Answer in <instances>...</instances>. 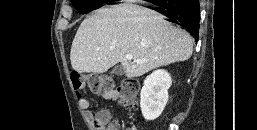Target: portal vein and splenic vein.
Masks as SVG:
<instances>
[{
  "mask_svg": "<svg viewBox=\"0 0 257 130\" xmlns=\"http://www.w3.org/2000/svg\"><path fill=\"white\" fill-rule=\"evenodd\" d=\"M126 59H128V60H132L133 59V55L132 54H127L126 55ZM135 62H137V63H142V61L141 60H134Z\"/></svg>",
  "mask_w": 257,
  "mask_h": 130,
  "instance_id": "obj_1",
  "label": "portal vein and splenic vein"
}]
</instances>
